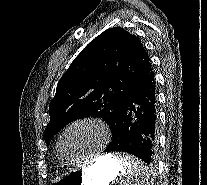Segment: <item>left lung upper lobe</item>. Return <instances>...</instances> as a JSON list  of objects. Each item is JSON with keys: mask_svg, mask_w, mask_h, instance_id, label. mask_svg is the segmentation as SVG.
Here are the masks:
<instances>
[{"mask_svg": "<svg viewBox=\"0 0 207 185\" xmlns=\"http://www.w3.org/2000/svg\"><path fill=\"white\" fill-rule=\"evenodd\" d=\"M152 67L141 41L120 27L105 30L73 60L57 84L44 139L70 122L101 117L113 131L118 112Z\"/></svg>", "mask_w": 207, "mask_h": 185, "instance_id": "1", "label": "left lung upper lobe"}]
</instances>
